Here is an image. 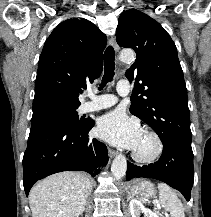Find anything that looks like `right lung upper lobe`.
Here are the masks:
<instances>
[{
  "mask_svg": "<svg viewBox=\"0 0 211 217\" xmlns=\"http://www.w3.org/2000/svg\"><path fill=\"white\" fill-rule=\"evenodd\" d=\"M106 43L86 19H68L52 31L39 58L32 119L79 107V93L102 72Z\"/></svg>",
  "mask_w": 211,
  "mask_h": 217,
  "instance_id": "cb5924a9",
  "label": "right lung upper lobe"
}]
</instances>
